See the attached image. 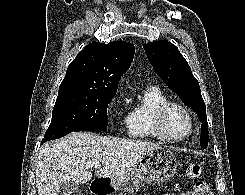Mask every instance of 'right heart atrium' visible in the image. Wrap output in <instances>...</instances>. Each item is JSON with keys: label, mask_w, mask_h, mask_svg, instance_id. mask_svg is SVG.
Masks as SVG:
<instances>
[{"label": "right heart atrium", "mask_w": 245, "mask_h": 195, "mask_svg": "<svg viewBox=\"0 0 245 195\" xmlns=\"http://www.w3.org/2000/svg\"><path fill=\"white\" fill-rule=\"evenodd\" d=\"M121 103V97L120 95H115L109 105V110L111 112H115L119 118L116 121V126L119 128V130L127 129V119L126 117H123V112L121 110L117 111L116 107Z\"/></svg>", "instance_id": "obj_1"}]
</instances>
